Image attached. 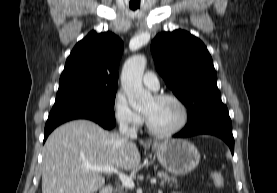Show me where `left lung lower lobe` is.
Listing matches in <instances>:
<instances>
[{
	"instance_id": "1",
	"label": "left lung lower lobe",
	"mask_w": 277,
	"mask_h": 193,
	"mask_svg": "<svg viewBox=\"0 0 277 193\" xmlns=\"http://www.w3.org/2000/svg\"><path fill=\"white\" fill-rule=\"evenodd\" d=\"M198 134H211L223 139L234 153L232 123L225 105L214 106L201 111L196 117L188 120L186 127L175 134L176 138H185Z\"/></svg>"
}]
</instances>
